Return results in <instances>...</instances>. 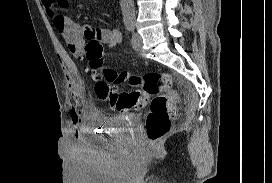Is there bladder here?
I'll return each instance as SVG.
<instances>
[{"instance_id":"31cf9c89","label":"bladder","mask_w":272,"mask_h":183,"mask_svg":"<svg viewBox=\"0 0 272 183\" xmlns=\"http://www.w3.org/2000/svg\"><path fill=\"white\" fill-rule=\"evenodd\" d=\"M140 121V116L135 113L103 116L97 119V122L104 128L125 133L136 132Z\"/></svg>"}]
</instances>
